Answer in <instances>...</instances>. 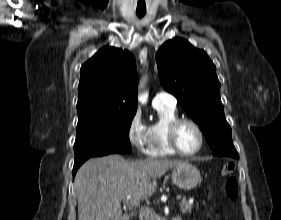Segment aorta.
Instances as JSON below:
<instances>
[{"mask_svg":"<svg viewBox=\"0 0 281 220\" xmlns=\"http://www.w3.org/2000/svg\"><path fill=\"white\" fill-rule=\"evenodd\" d=\"M142 86V85H141ZM148 100V93H142L138 96V101L142 104H146Z\"/></svg>","mask_w":281,"mask_h":220,"instance_id":"1","label":"aorta"}]
</instances>
